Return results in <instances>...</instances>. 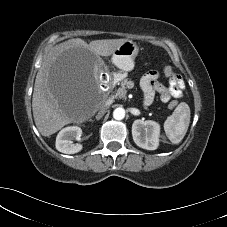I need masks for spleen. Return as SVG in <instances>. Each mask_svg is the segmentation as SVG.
Masks as SVG:
<instances>
[{"label":"spleen","instance_id":"3e777b00","mask_svg":"<svg viewBox=\"0 0 227 227\" xmlns=\"http://www.w3.org/2000/svg\"><path fill=\"white\" fill-rule=\"evenodd\" d=\"M190 114L188 104L182 102L164 122L165 134L172 143L178 144L184 138L190 123Z\"/></svg>","mask_w":227,"mask_h":227}]
</instances>
